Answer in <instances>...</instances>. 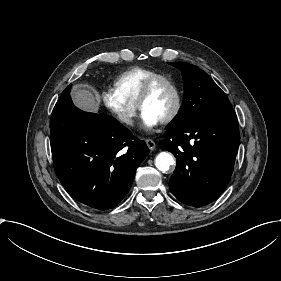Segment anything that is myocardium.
<instances>
[{
	"instance_id": "1",
	"label": "myocardium",
	"mask_w": 281,
	"mask_h": 281,
	"mask_svg": "<svg viewBox=\"0 0 281 281\" xmlns=\"http://www.w3.org/2000/svg\"><path fill=\"white\" fill-rule=\"evenodd\" d=\"M160 84L168 85L173 90L174 97H175L174 105L171 112L162 122H160L163 125H167L173 122L177 118L182 108L181 90L178 84L172 78L166 75H158L148 80L138 98L137 106L139 110L142 111L143 103L151 96L155 88Z\"/></svg>"
}]
</instances>
